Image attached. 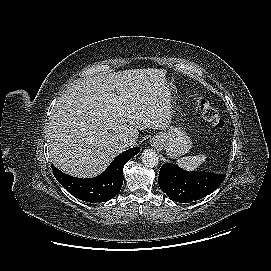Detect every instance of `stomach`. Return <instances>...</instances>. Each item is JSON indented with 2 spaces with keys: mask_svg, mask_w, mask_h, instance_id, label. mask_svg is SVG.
Returning <instances> with one entry per match:
<instances>
[{
  "mask_svg": "<svg viewBox=\"0 0 271 271\" xmlns=\"http://www.w3.org/2000/svg\"><path fill=\"white\" fill-rule=\"evenodd\" d=\"M161 139V147L166 149L170 158H176L187 154L192 148V140L183 127H170L168 132H161L153 137Z\"/></svg>",
  "mask_w": 271,
  "mask_h": 271,
  "instance_id": "obj_1",
  "label": "stomach"
}]
</instances>
